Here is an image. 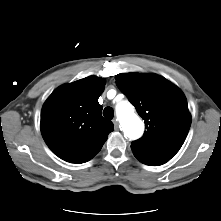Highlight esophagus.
I'll return each mask as SVG.
<instances>
[{"label": "esophagus", "instance_id": "1", "mask_svg": "<svg viewBox=\"0 0 221 221\" xmlns=\"http://www.w3.org/2000/svg\"><path fill=\"white\" fill-rule=\"evenodd\" d=\"M113 124H114V128H115L116 130H118L119 127H120V124H119V122H118L117 119H114V120H113Z\"/></svg>", "mask_w": 221, "mask_h": 221}]
</instances>
